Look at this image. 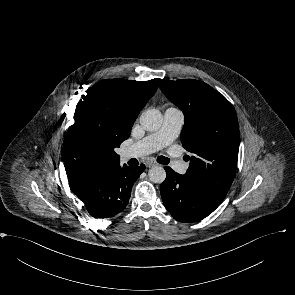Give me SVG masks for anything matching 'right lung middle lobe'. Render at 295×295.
Listing matches in <instances>:
<instances>
[{"label": "right lung middle lobe", "instance_id": "1", "mask_svg": "<svg viewBox=\"0 0 295 295\" xmlns=\"http://www.w3.org/2000/svg\"><path fill=\"white\" fill-rule=\"evenodd\" d=\"M138 112L123 94L120 79H105L88 89L78 102L74 130L93 140H108L114 147L129 137Z\"/></svg>", "mask_w": 295, "mask_h": 295}]
</instances>
